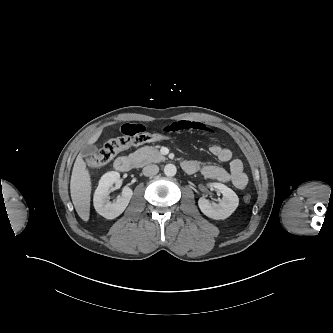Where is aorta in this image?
<instances>
[{"mask_svg": "<svg viewBox=\"0 0 333 333\" xmlns=\"http://www.w3.org/2000/svg\"><path fill=\"white\" fill-rule=\"evenodd\" d=\"M177 168L174 164H167L164 167V174L169 177H173L176 175Z\"/></svg>", "mask_w": 333, "mask_h": 333, "instance_id": "1", "label": "aorta"}]
</instances>
